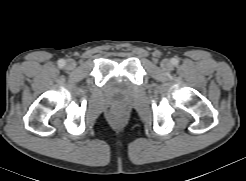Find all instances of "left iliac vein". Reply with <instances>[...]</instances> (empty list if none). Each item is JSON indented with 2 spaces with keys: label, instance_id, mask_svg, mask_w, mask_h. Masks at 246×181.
Masks as SVG:
<instances>
[{
  "label": "left iliac vein",
  "instance_id": "left-iliac-vein-1",
  "mask_svg": "<svg viewBox=\"0 0 246 181\" xmlns=\"http://www.w3.org/2000/svg\"><path fill=\"white\" fill-rule=\"evenodd\" d=\"M161 67H162L163 69L169 70V69L172 68V64L170 63L169 60L165 59V60L162 61Z\"/></svg>",
  "mask_w": 246,
  "mask_h": 181
}]
</instances>
